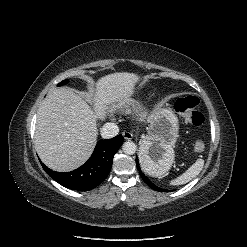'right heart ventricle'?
I'll list each match as a JSON object with an SVG mask.
<instances>
[{"label": "right heart ventricle", "instance_id": "e07e8e85", "mask_svg": "<svg viewBox=\"0 0 247 247\" xmlns=\"http://www.w3.org/2000/svg\"><path fill=\"white\" fill-rule=\"evenodd\" d=\"M136 104V101L135 100H132V99H130V100H126L125 102H124V105L125 106H133V105H135Z\"/></svg>", "mask_w": 247, "mask_h": 247}]
</instances>
